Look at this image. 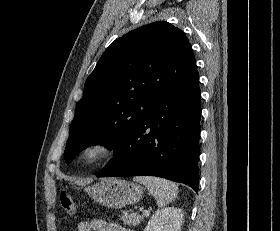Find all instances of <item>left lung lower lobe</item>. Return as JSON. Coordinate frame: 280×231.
I'll return each mask as SVG.
<instances>
[{
  "label": "left lung lower lobe",
  "instance_id": "left-lung-lower-lobe-1",
  "mask_svg": "<svg viewBox=\"0 0 280 231\" xmlns=\"http://www.w3.org/2000/svg\"><path fill=\"white\" fill-rule=\"evenodd\" d=\"M200 95L196 70L154 103L97 177L157 176L198 193Z\"/></svg>",
  "mask_w": 280,
  "mask_h": 231
}]
</instances>
